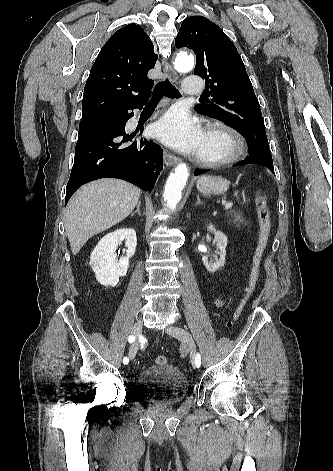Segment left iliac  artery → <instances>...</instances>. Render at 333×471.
Instances as JSON below:
<instances>
[{"mask_svg": "<svg viewBox=\"0 0 333 471\" xmlns=\"http://www.w3.org/2000/svg\"><path fill=\"white\" fill-rule=\"evenodd\" d=\"M201 365V356L199 353L196 354V367L199 368Z\"/></svg>", "mask_w": 333, "mask_h": 471, "instance_id": "44dca946", "label": "left iliac artery"}]
</instances>
